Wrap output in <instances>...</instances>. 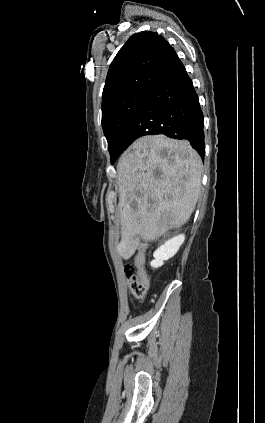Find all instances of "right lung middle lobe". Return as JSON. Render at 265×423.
<instances>
[{
    "label": "right lung middle lobe",
    "instance_id": "right-lung-middle-lobe-1",
    "mask_svg": "<svg viewBox=\"0 0 265 423\" xmlns=\"http://www.w3.org/2000/svg\"><path fill=\"white\" fill-rule=\"evenodd\" d=\"M149 92L150 90L132 92L114 101L102 111V127L108 141V150L112 163L121 154L118 150V141L123 129L146 99Z\"/></svg>",
    "mask_w": 265,
    "mask_h": 423
}]
</instances>
